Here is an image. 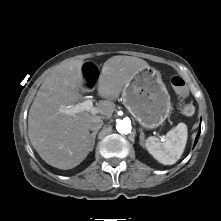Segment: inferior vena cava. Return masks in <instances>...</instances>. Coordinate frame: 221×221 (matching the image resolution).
<instances>
[{
    "instance_id": "obj_1",
    "label": "inferior vena cava",
    "mask_w": 221,
    "mask_h": 221,
    "mask_svg": "<svg viewBox=\"0 0 221 221\" xmlns=\"http://www.w3.org/2000/svg\"><path fill=\"white\" fill-rule=\"evenodd\" d=\"M103 125V121L101 119H94L88 124L89 130L95 132L98 131Z\"/></svg>"
}]
</instances>
